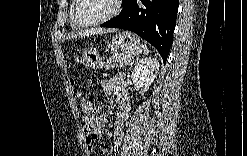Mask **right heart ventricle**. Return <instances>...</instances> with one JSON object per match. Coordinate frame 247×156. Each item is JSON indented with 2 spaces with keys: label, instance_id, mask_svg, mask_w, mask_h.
<instances>
[{
  "label": "right heart ventricle",
  "instance_id": "1",
  "mask_svg": "<svg viewBox=\"0 0 247 156\" xmlns=\"http://www.w3.org/2000/svg\"><path fill=\"white\" fill-rule=\"evenodd\" d=\"M75 3H76V0H73L71 2L70 8H69V12H68L69 24H70L72 29H78V27H76L72 22V13H73V9H74Z\"/></svg>",
  "mask_w": 247,
  "mask_h": 156
}]
</instances>
